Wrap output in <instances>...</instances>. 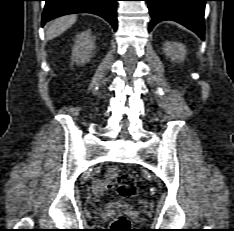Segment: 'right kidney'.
Returning a JSON list of instances; mask_svg holds the SVG:
<instances>
[{"instance_id":"obj_1","label":"right kidney","mask_w":234,"mask_h":231,"mask_svg":"<svg viewBox=\"0 0 234 231\" xmlns=\"http://www.w3.org/2000/svg\"><path fill=\"white\" fill-rule=\"evenodd\" d=\"M95 47V37L92 36L91 31L81 33L73 47L72 61L77 64H84L91 57L92 51Z\"/></svg>"}]
</instances>
